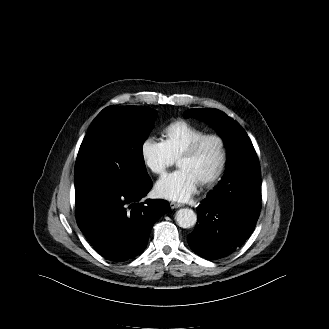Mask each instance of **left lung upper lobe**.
Masks as SVG:
<instances>
[{
	"instance_id": "obj_1",
	"label": "left lung upper lobe",
	"mask_w": 329,
	"mask_h": 329,
	"mask_svg": "<svg viewBox=\"0 0 329 329\" xmlns=\"http://www.w3.org/2000/svg\"><path fill=\"white\" fill-rule=\"evenodd\" d=\"M185 118H197L211 124L220 134L228 147V162L225 174L208 197L220 199L223 197L224 187L236 175L247 172L249 167L258 162L253 144L244 129L223 112L212 109H189L184 114ZM259 163V162H258Z\"/></svg>"
}]
</instances>
